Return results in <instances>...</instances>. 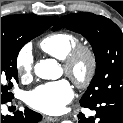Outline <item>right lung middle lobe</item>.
I'll return each mask as SVG.
<instances>
[{"instance_id":"1","label":"right lung middle lobe","mask_w":123,"mask_h":123,"mask_svg":"<svg viewBox=\"0 0 123 123\" xmlns=\"http://www.w3.org/2000/svg\"><path fill=\"white\" fill-rule=\"evenodd\" d=\"M47 28L41 26H20L7 35L1 34V100L13 98L10 92L13 82H18L16 59L25 43L42 34Z\"/></svg>"}]
</instances>
